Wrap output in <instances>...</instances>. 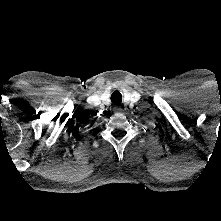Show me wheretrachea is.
<instances>
[{"label": "trachea", "mask_w": 221, "mask_h": 221, "mask_svg": "<svg viewBox=\"0 0 221 221\" xmlns=\"http://www.w3.org/2000/svg\"><path fill=\"white\" fill-rule=\"evenodd\" d=\"M111 102L114 105H120L122 102V95L118 90H115L111 95Z\"/></svg>", "instance_id": "3493384b"}]
</instances>
